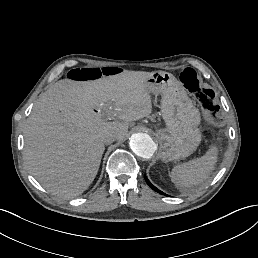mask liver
<instances>
[{
    "instance_id": "1",
    "label": "liver",
    "mask_w": 258,
    "mask_h": 258,
    "mask_svg": "<svg viewBox=\"0 0 258 258\" xmlns=\"http://www.w3.org/2000/svg\"><path fill=\"white\" fill-rule=\"evenodd\" d=\"M153 72L124 71L93 81L60 80L35 103L25 128L24 162L51 194L71 199L93 181L104 152L102 137L123 138L128 122L151 113L144 82ZM103 103L121 120L104 122Z\"/></svg>"
}]
</instances>
